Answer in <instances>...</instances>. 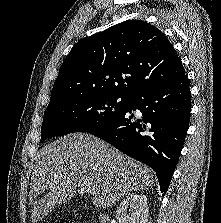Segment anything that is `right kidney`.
I'll list each match as a JSON object with an SVG mask.
<instances>
[{
    "label": "right kidney",
    "instance_id": "right-kidney-1",
    "mask_svg": "<svg viewBox=\"0 0 221 223\" xmlns=\"http://www.w3.org/2000/svg\"><path fill=\"white\" fill-rule=\"evenodd\" d=\"M131 213L128 214L127 209ZM149 208L145 195L132 194L126 197L116 210L119 223H147Z\"/></svg>",
    "mask_w": 221,
    "mask_h": 223
}]
</instances>
